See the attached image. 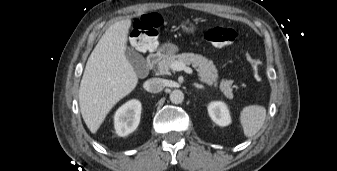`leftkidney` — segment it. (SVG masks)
Masks as SVG:
<instances>
[{
  "instance_id": "5707ae66",
  "label": "left kidney",
  "mask_w": 337,
  "mask_h": 171,
  "mask_svg": "<svg viewBox=\"0 0 337 171\" xmlns=\"http://www.w3.org/2000/svg\"><path fill=\"white\" fill-rule=\"evenodd\" d=\"M208 113L211 119L220 126H227L231 123L230 113L224 102H211L208 106Z\"/></svg>"
}]
</instances>
